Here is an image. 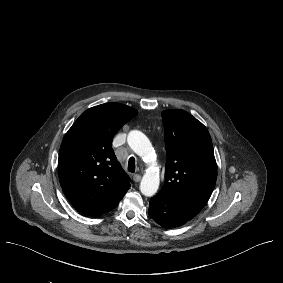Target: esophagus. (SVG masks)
Wrapping results in <instances>:
<instances>
[{"label": "esophagus", "mask_w": 283, "mask_h": 283, "mask_svg": "<svg viewBox=\"0 0 283 283\" xmlns=\"http://www.w3.org/2000/svg\"><path fill=\"white\" fill-rule=\"evenodd\" d=\"M133 181L134 182H140L141 181V175L140 174H135L133 176Z\"/></svg>", "instance_id": "34e87169"}]
</instances>
